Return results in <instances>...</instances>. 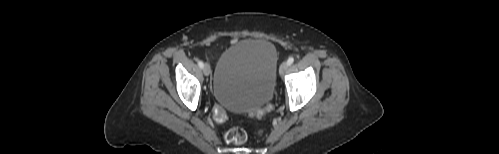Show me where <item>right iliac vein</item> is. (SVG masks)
<instances>
[{
    "instance_id": "63e3f726",
    "label": "right iliac vein",
    "mask_w": 499,
    "mask_h": 154,
    "mask_svg": "<svg viewBox=\"0 0 499 154\" xmlns=\"http://www.w3.org/2000/svg\"><path fill=\"white\" fill-rule=\"evenodd\" d=\"M203 72H204V75H205V76H209V75H210V73H211V68H210L209 64H207V63H206V64L204 65V67H203Z\"/></svg>"
}]
</instances>
